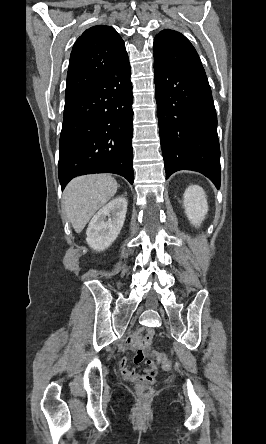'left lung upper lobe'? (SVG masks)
<instances>
[{"label": "left lung upper lobe", "mask_w": 266, "mask_h": 444, "mask_svg": "<svg viewBox=\"0 0 266 444\" xmlns=\"http://www.w3.org/2000/svg\"><path fill=\"white\" fill-rule=\"evenodd\" d=\"M154 59L183 71L205 72L197 51L181 33L166 29L156 35Z\"/></svg>", "instance_id": "1"}]
</instances>
